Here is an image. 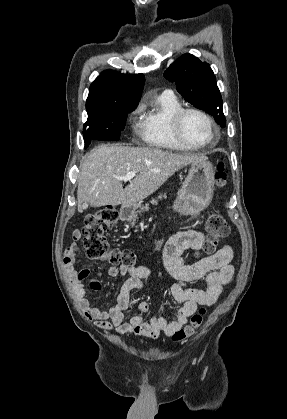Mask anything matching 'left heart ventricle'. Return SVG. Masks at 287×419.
Listing matches in <instances>:
<instances>
[{
  "label": "left heart ventricle",
  "mask_w": 287,
  "mask_h": 419,
  "mask_svg": "<svg viewBox=\"0 0 287 419\" xmlns=\"http://www.w3.org/2000/svg\"><path fill=\"white\" fill-rule=\"evenodd\" d=\"M182 132L186 140L193 144H204L211 139L208 124L201 116L194 113H188L184 117Z\"/></svg>",
  "instance_id": "obj_1"
}]
</instances>
